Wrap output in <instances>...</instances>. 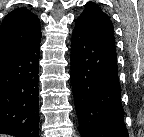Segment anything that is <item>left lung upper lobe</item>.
Segmentation results:
<instances>
[{
    "label": "left lung upper lobe",
    "instance_id": "1",
    "mask_svg": "<svg viewBox=\"0 0 144 137\" xmlns=\"http://www.w3.org/2000/svg\"><path fill=\"white\" fill-rule=\"evenodd\" d=\"M76 24L96 36L115 42L114 28L109 16L95 3L86 4L85 11L78 17Z\"/></svg>",
    "mask_w": 144,
    "mask_h": 137
}]
</instances>
